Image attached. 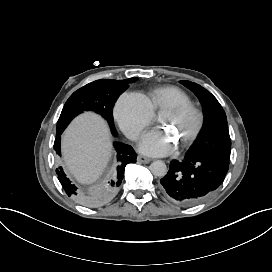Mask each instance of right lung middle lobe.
<instances>
[{
  "label": "right lung middle lobe",
  "instance_id": "dd1d6c3e",
  "mask_svg": "<svg viewBox=\"0 0 272 272\" xmlns=\"http://www.w3.org/2000/svg\"><path fill=\"white\" fill-rule=\"evenodd\" d=\"M136 80V77L126 80L102 79L78 89L65 103L56 132H62L70 121L83 111H94L107 120L112 133L116 134L112 108L118 96L128 87V83Z\"/></svg>",
  "mask_w": 272,
  "mask_h": 272
}]
</instances>
